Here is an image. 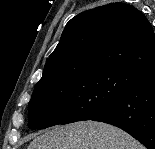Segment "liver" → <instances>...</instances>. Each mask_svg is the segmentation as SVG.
<instances>
[{"mask_svg": "<svg viewBox=\"0 0 155 149\" xmlns=\"http://www.w3.org/2000/svg\"><path fill=\"white\" fill-rule=\"evenodd\" d=\"M27 149H145L125 131L102 122L80 121L37 136Z\"/></svg>", "mask_w": 155, "mask_h": 149, "instance_id": "obj_1", "label": "liver"}]
</instances>
